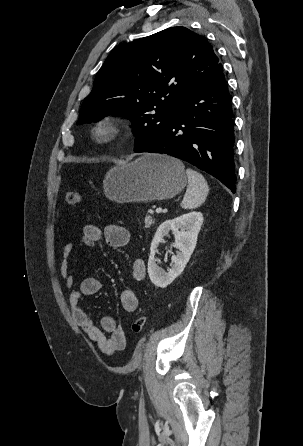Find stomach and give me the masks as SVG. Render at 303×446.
Here are the masks:
<instances>
[{
	"mask_svg": "<svg viewBox=\"0 0 303 446\" xmlns=\"http://www.w3.org/2000/svg\"><path fill=\"white\" fill-rule=\"evenodd\" d=\"M187 184L183 163L162 154H145L108 171L104 193L116 203L149 202L176 196Z\"/></svg>",
	"mask_w": 303,
	"mask_h": 446,
	"instance_id": "stomach-1",
	"label": "stomach"
}]
</instances>
